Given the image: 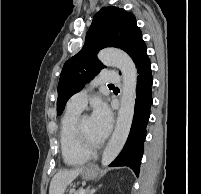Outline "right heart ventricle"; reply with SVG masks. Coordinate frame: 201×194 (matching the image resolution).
<instances>
[{"label":"right heart ventricle","mask_w":201,"mask_h":194,"mask_svg":"<svg viewBox=\"0 0 201 194\" xmlns=\"http://www.w3.org/2000/svg\"><path fill=\"white\" fill-rule=\"evenodd\" d=\"M81 110L67 106L60 123V147L63 160L68 165H80L89 159L87 153L81 150L76 137V122Z\"/></svg>","instance_id":"1"}]
</instances>
